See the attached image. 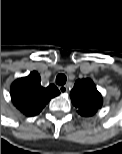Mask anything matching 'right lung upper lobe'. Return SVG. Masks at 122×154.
Masks as SVG:
<instances>
[{"mask_svg":"<svg viewBox=\"0 0 122 154\" xmlns=\"http://www.w3.org/2000/svg\"><path fill=\"white\" fill-rule=\"evenodd\" d=\"M40 81L38 72L33 71L27 77L17 79L11 86L12 101L26 116L39 114L51 98L60 94L55 85L44 88Z\"/></svg>","mask_w":122,"mask_h":154,"instance_id":"cb5924a9","label":"right lung upper lobe"}]
</instances>
